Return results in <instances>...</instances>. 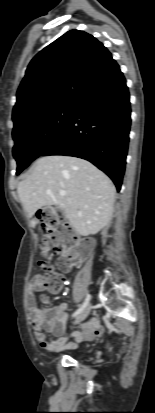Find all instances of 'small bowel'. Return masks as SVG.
I'll return each instance as SVG.
<instances>
[{"label":"small bowel","mask_w":155,"mask_h":413,"mask_svg":"<svg viewBox=\"0 0 155 413\" xmlns=\"http://www.w3.org/2000/svg\"><path fill=\"white\" fill-rule=\"evenodd\" d=\"M72 266L73 263L67 270L71 269ZM44 290L45 286L42 277L35 275L27 287V304L35 337L44 349L53 352L75 349L84 340H90L103 334L104 330L99 321L92 319L85 322L80 330L73 332L71 335L73 341H69V337L64 336L67 322V305L66 303H60L52 309L40 307L34 294ZM44 325L57 337L56 339H49L47 337L43 331Z\"/></svg>","instance_id":"c3829d8e"}]
</instances>
